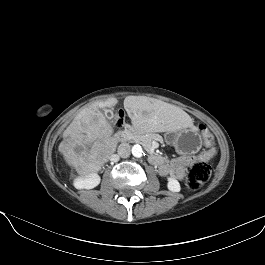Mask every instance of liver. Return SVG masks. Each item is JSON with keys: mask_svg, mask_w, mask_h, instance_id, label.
<instances>
[{"mask_svg": "<svg viewBox=\"0 0 265 265\" xmlns=\"http://www.w3.org/2000/svg\"><path fill=\"white\" fill-rule=\"evenodd\" d=\"M116 98L84 107L63 132L58 150L81 177L97 173L116 151L113 128L101 109L117 104ZM124 108L133 125L150 132L196 130L193 119L181 108L155 98L127 96Z\"/></svg>", "mask_w": 265, "mask_h": 265, "instance_id": "obj_1", "label": "liver"}]
</instances>
